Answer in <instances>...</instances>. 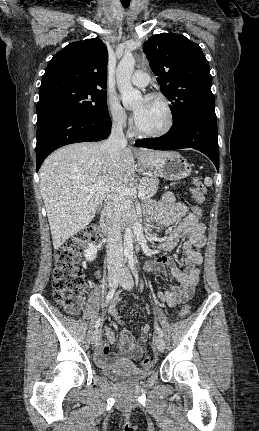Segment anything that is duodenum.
Segmentation results:
<instances>
[{
    "label": "duodenum",
    "instance_id": "obj_1",
    "mask_svg": "<svg viewBox=\"0 0 259 431\" xmlns=\"http://www.w3.org/2000/svg\"><path fill=\"white\" fill-rule=\"evenodd\" d=\"M100 227L104 235L107 237V239H109L113 231V222H112L111 211L109 207H105L102 211L101 218H100ZM135 234L137 239L136 249L139 250L141 248V242H142L141 230L137 229Z\"/></svg>",
    "mask_w": 259,
    "mask_h": 431
}]
</instances>
